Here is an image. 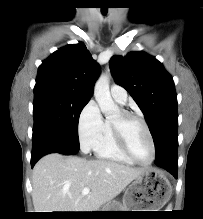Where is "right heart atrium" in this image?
I'll return each instance as SVG.
<instances>
[{
	"label": "right heart atrium",
	"instance_id": "obj_1",
	"mask_svg": "<svg viewBox=\"0 0 203 219\" xmlns=\"http://www.w3.org/2000/svg\"><path fill=\"white\" fill-rule=\"evenodd\" d=\"M104 120L97 103L89 101L80 112L77 124L81 150L85 153L92 150L101 134Z\"/></svg>",
	"mask_w": 203,
	"mask_h": 219
}]
</instances>
